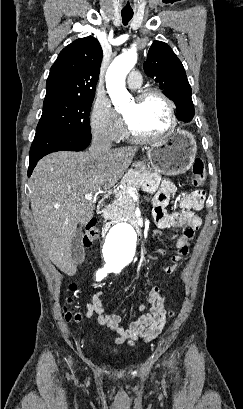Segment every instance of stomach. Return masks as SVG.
<instances>
[{"label":"stomach","instance_id":"obj_1","mask_svg":"<svg viewBox=\"0 0 243 409\" xmlns=\"http://www.w3.org/2000/svg\"><path fill=\"white\" fill-rule=\"evenodd\" d=\"M196 152L197 145L193 135L184 130H176L148 147L145 161L161 174L178 175L192 166ZM134 166L136 169H145L144 162H137Z\"/></svg>","mask_w":243,"mask_h":409}]
</instances>
